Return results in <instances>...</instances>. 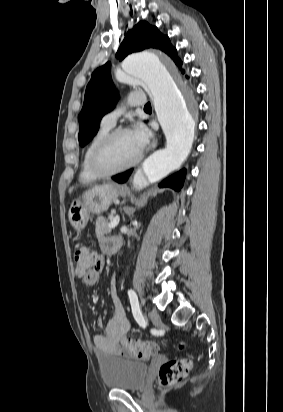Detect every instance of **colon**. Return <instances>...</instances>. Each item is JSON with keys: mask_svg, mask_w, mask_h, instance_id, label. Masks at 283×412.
Instances as JSON below:
<instances>
[{"mask_svg": "<svg viewBox=\"0 0 283 412\" xmlns=\"http://www.w3.org/2000/svg\"><path fill=\"white\" fill-rule=\"evenodd\" d=\"M74 263L76 275L84 278L91 270L101 264V258L87 247H81L74 254ZM181 346L183 345L181 344ZM123 347L127 355L133 358L150 357L158 354L162 349V346L157 342L130 338L123 341ZM191 367L192 360L188 358L168 360L160 368V383L163 386H172L181 382Z\"/></svg>", "mask_w": 283, "mask_h": 412, "instance_id": "colon-1", "label": "colon"}]
</instances>
